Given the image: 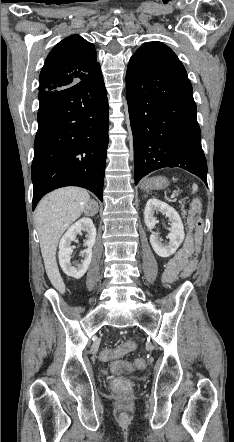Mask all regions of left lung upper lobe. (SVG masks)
<instances>
[{
  "label": "left lung upper lobe",
  "mask_w": 234,
  "mask_h": 442,
  "mask_svg": "<svg viewBox=\"0 0 234 442\" xmlns=\"http://www.w3.org/2000/svg\"><path fill=\"white\" fill-rule=\"evenodd\" d=\"M133 56L150 60L180 62L175 53L161 42L146 43L141 46Z\"/></svg>",
  "instance_id": "1"
}]
</instances>
